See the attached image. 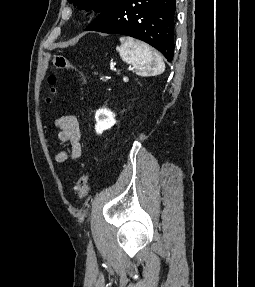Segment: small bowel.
Returning <instances> with one entry per match:
<instances>
[{"instance_id": "c3829d8e", "label": "small bowel", "mask_w": 255, "mask_h": 287, "mask_svg": "<svg viewBox=\"0 0 255 287\" xmlns=\"http://www.w3.org/2000/svg\"><path fill=\"white\" fill-rule=\"evenodd\" d=\"M55 126L58 128V140L70 146L68 150L59 151L55 155V161L57 163H65L68 159L77 161L82 153L79 120L73 115H64L56 120Z\"/></svg>"}]
</instances>
